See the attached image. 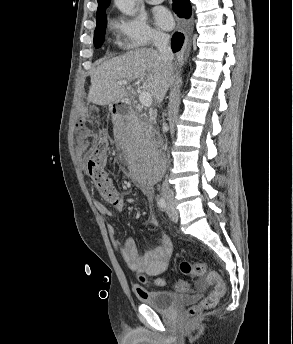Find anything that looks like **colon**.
<instances>
[{"mask_svg":"<svg viewBox=\"0 0 293 344\" xmlns=\"http://www.w3.org/2000/svg\"><path fill=\"white\" fill-rule=\"evenodd\" d=\"M78 128L82 129V126ZM108 151L109 141L106 138L98 139L87 156L86 167L89 178L96 186L101 197L112 204H117L120 200V196L106 169ZM180 270L186 275L195 277L206 276L208 281L215 284L214 289L208 296L197 305L188 309L189 317L194 318L201 311L215 307L219 299L225 294L226 286L220 276L215 272L207 273L204 263L190 264L185 261L180 264ZM157 283L163 284L161 280H158ZM178 286L182 287V283H178Z\"/></svg>","mask_w":293,"mask_h":344,"instance_id":"5ec220e1","label":"colon"}]
</instances>
